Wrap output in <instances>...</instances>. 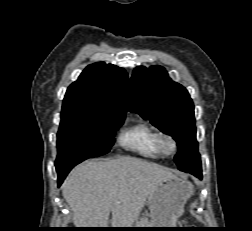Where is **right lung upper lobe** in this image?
<instances>
[{"label": "right lung upper lobe", "instance_id": "1", "mask_svg": "<svg viewBox=\"0 0 252 231\" xmlns=\"http://www.w3.org/2000/svg\"><path fill=\"white\" fill-rule=\"evenodd\" d=\"M128 76L123 68L98 62L87 66L65 94L62 109L126 113Z\"/></svg>", "mask_w": 252, "mask_h": 231}]
</instances>
